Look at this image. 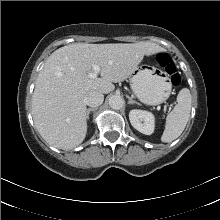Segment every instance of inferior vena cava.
I'll return each mask as SVG.
<instances>
[{
  "label": "inferior vena cava",
  "instance_id": "obj_1",
  "mask_svg": "<svg viewBox=\"0 0 220 220\" xmlns=\"http://www.w3.org/2000/svg\"><path fill=\"white\" fill-rule=\"evenodd\" d=\"M104 101V95L98 91H89L85 96V104L90 107L100 106Z\"/></svg>",
  "mask_w": 220,
  "mask_h": 220
}]
</instances>
